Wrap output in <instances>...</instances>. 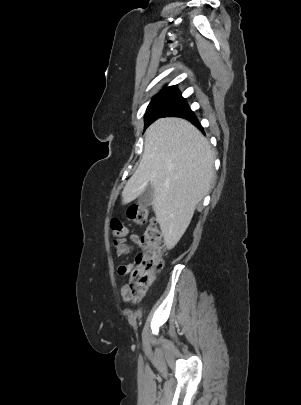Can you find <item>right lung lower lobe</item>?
Returning <instances> with one entry per match:
<instances>
[{"label":"right lung lower lobe","instance_id":"right-lung-lower-lobe-1","mask_svg":"<svg viewBox=\"0 0 301 405\" xmlns=\"http://www.w3.org/2000/svg\"><path fill=\"white\" fill-rule=\"evenodd\" d=\"M177 117H183V118L188 119V120L191 121L196 127H198L200 130L203 131V128H202L201 125L199 124V122H198V120L196 119V117L194 116L193 112L190 111V112H188V113L182 114V115L177 116Z\"/></svg>","mask_w":301,"mask_h":405}]
</instances>
